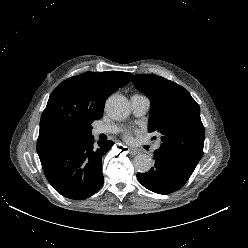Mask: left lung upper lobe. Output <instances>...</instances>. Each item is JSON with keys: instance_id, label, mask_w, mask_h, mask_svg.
<instances>
[{"instance_id": "1", "label": "left lung upper lobe", "mask_w": 248, "mask_h": 248, "mask_svg": "<svg viewBox=\"0 0 248 248\" xmlns=\"http://www.w3.org/2000/svg\"><path fill=\"white\" fill-rule=\"evenodd\" d=\"M132 82L151 101L149 132L161 133L158 150L194 170L205 139L197 102L185 88L157 75L136 74Z\"/></svg>"}]
</instances>
